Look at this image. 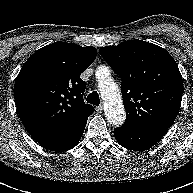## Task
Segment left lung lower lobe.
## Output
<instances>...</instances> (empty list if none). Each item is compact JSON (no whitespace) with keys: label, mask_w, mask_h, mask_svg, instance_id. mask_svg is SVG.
Returning a JSON list of instances; mask_svg holds the SVG:
<instances>
[{"label":"left lung lower lobe","mask_w":193,"mask_h":193,"mask_svg":"<svg viewBox=\"0 0 193 193\" xmlns=\"http://www.w3.org/2000/svg\"><path fill=\"white\" fill-rule=\"evenodd\" d=\"M168 129L163 128H139V129H114V136L117 142L130 150L142 151L157 144Z\"/></svg>","instance_id":"obj_1"}]
</instances>
